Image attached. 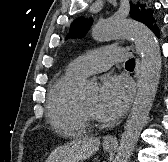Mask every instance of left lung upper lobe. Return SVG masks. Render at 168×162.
<instances>
[{"label": "left lung upper lobe", "instance_id": "obj_1", "mask_svg": "<svg viewBox=\"0 0 168 162\" xmlns=\"http://www.w3.org/2000/svg\"><path fill=\"white\" fill-rule=\"evenodd\" d=\"M130 6H131L130 16L133 19L144 23L148 27L152 23H154L155 19L153 17V12L150 9L146 10L144 8L145 5H142L138 2L137 5L130 3ZM91 23H92V19H87V18L85 19L84 17H79L75 19L71 24L70 32L67 35L66 39L70 35L72 36V38L84 36L89 30Z\"/></svg>", "mask_w": 168, "mask_h": 162}]
</instances>
